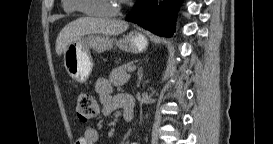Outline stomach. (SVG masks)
Wrapping results in <instances>:
<instances>
[{
	"mask_svg": "<svg viewBox=\"0 0 273 144\" xmlns=\"http://www.w3.org/2000/svg\"><path fill=\"white\" fill-rule=\"evenodd\" d=\"M114 44L128 52L142 53L147 49L148 39L137 31L130 32L119 40L98 34L79 37L64 51L63 60L67 73L79 83L86 82L93 69L90 50L102 52L111 49Z\"/></svg>",
	"mask_w": 273,
	"mask_h": 144,
	"instance_id": "obj_1",
	"label": "stomach"
}]
</instances>
